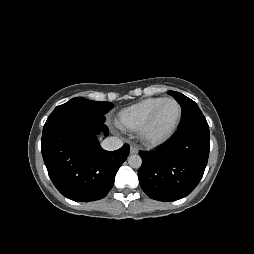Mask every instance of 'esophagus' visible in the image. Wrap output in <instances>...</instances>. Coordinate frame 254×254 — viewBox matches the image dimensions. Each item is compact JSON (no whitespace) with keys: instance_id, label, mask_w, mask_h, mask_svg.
<instances>
[{"instance_id":"1","label":"esophagus","mask_w":254,"mask_h":254,"mask_svg":"<svg viewBox=\"0 0 254 254\" xmlns=\"http://www.w3.org/2000/svg\"><path fill=\"white\" fill-rule=\"evenodd\" d=\"M138 153V148L135 146H130V154H136Z\"/></svg>"}]
</instances>
